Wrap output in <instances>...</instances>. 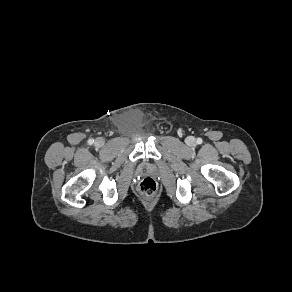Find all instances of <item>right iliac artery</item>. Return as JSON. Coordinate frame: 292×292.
Returning a JSON list of instances; mask_svg holds the SVG:
<instances>
[{"label": "right iliac artery", "instance_id": "82829eb1", "mask_svg": "<svg viewBox=\"0 0 292 292\" xmlns=\"http://www.w3.org/2000/svg\"><path fill=\"white\" fill-rule=\"evenodd\" d=\"M93 142H94L93 139H89V140H88V143H89L90 145L93 144Z\"/></svg>", "mask_w": 292, "mask_h": 292}]
</instances>
